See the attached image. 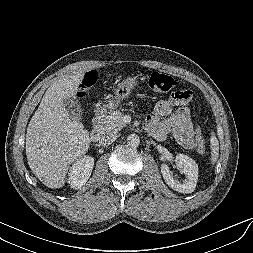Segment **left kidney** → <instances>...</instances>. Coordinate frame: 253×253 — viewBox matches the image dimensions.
<instances>
[{"label":"left kidney","mask_w":253,"mask_h":253,"mask_svg":"<svg viewBox=\"0 0 253 253\" xmlns=\"http://www.w3.org/2000/svg\"><path fill=\"white\" fill-rule=\"evenodd\" d=\"M176 165L180 173L185 174L186 178L181 182L178 181L172 174L167 164L161 165V173L166 184L173 190L180 193H192L198 180V165L187 155L177 154Z\"/></svg>","instance_id":"obj_1"}]
</instances>
